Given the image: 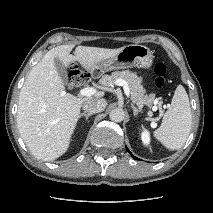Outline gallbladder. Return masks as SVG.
<instances>
[{"mask_svg":"<svg viewBox=\"0 0 213 213\" xmlns=\"http://www.w3.org/2000/svg\"><path fill=\"white\" fill-rule=\"evenodd\" d=\"M54 63H55L56 70H57L60 78L62 79L63 83L67 84L68 83V77H67L65 66L63 65V63L58 58L54 59Z\"/></svg>","mask_w":213,"mask_h":213,"instance_id":"obj_1","label":"gallbladder"}]
</instances>
